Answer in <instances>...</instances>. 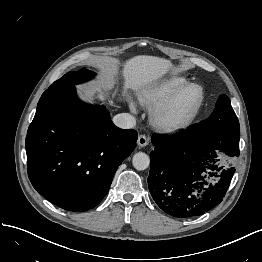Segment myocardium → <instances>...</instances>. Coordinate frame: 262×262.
I'll return each instance as SVG.
<instances>
[{
  "instance_id": "f54148a6",
  "label": "myocardium",
  "mask_w": 262,
  "mask_h": 262,
  "mask_svg": "<svg viewBox=\"0 0 262 262\" xmlns=\"http://www.w3.org/2000/svg\"><path fill=\"white\" fill-rule=\"evenodd\" d=\"M190 88H195L198 91V97L192 110L186 115L173 117L172 112L179 104L182 95ZM203 101V87L195 82H186L154 108L151 114V122L153 126L161 132L171 133L184 129L195 120Z\"/></svg>"
}]
</instances>
